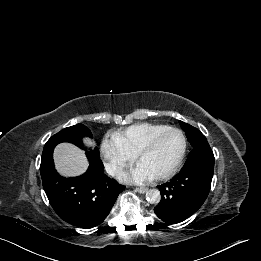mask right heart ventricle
Listing matches in <instances>:
<instances>
[{
	"instance_id": "e07e8e85",
	"label": "right heart ventricle",
	"mask_w": 261,
	"mask_h": 261,
	"mask_svg": "<svg viewBox=\"0 0 261 261\" xmlns=\"http://www.w3.org/2000/svg\"><path fill=\"white\" fill-rule=\"evenodd\" d=\"M164 124L137 123L114 133L113 137L130 153L136 156L142 147L159 131L167 128Z\"/></svg>"
}]
</instances>
